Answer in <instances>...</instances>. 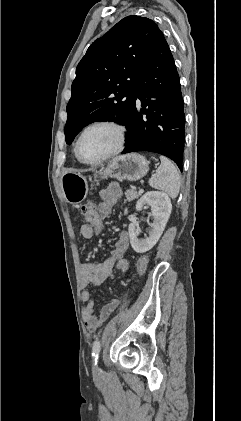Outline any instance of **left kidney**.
<instances>
[{
    "label": "left kidney",
    "mask_w": 241,
    "mask_h": 421,
    "mask_svg": "<svg viewBox=\"0 0 241 421\" xmlns=\"http://www.w3.org/2000/svg\"><path fill=\"white\" fill-rule=\"evenodd\" d=\"M146 204L151 207L152 215L154 217L149 236L145 239H139L137 237L136 222H132L128 227L131 246L137 253H144L149 251L158 242L165 229L172 210L171 200L164 192H146L137 201L136 210L140 211Z\"/></svg>",
    "instance_id": "5707ae66"
}]
</instances>
